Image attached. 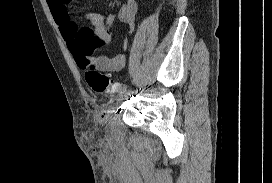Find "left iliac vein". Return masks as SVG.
<instances>
[{
	"label": "left iliac vein",
	"mask_w": 272,
	"mask_h": 183,
	"mask_svg": "<svg viewBox=\"0 0 272 183\" xmlns=\"http://www.w3.org/2000/svg\"><path fill=\"white\" fill-rule=\"evenodd\" d=\"M131 94H133V91H132V90H128V91H126V93H124V94L120 93V94L117 96V101H118V102L123 101L126 97L130 96Z\"/></svg>",
	"instance_id": "left-iliac-vein-1"
}]
</instances>
